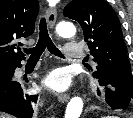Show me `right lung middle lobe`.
<instances>
[{
    "label": "right lung middle lobe",
    "instance_id": "dd1d6c3e",
    "mask_svg": "<svg viewBox=\"0 0 133 118\" xmlns=\"http://www.w3.org/2000/svg\"><path fill=\"white\" fill-rule=\"evenodd\" d=\"M12 71L11 66H0V81L10 79Z\"/></svg>",
    "mask_w": 133,
    "mask_h": 118
}]
</instances>
